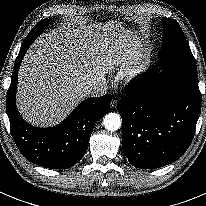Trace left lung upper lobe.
I'll list each match as a JSON object with an SVG mask.
<instances>
[{"label": "left lung upper lobe", "mask_w": 206, "mask_h": 206, "mask_svg": "<svg viewBox=\"0 0 206 206\" xmlns=\"http://www.w3.org/2000/svg\"><path fill=\"white\" fill-rule=\"evenodd\" d=\"M163 45L159 52L160 67H174L197 72L195 59L179 24L169 18L162 20Z\"/></svg>", "instance_id": "1"}]
</instances>
